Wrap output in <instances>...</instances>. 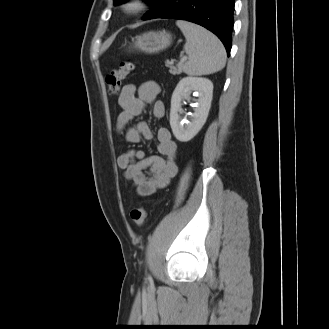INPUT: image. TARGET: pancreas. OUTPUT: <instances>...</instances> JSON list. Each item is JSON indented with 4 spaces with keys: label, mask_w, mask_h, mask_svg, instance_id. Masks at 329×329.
Here are the masks:
<instances>
[{
    "label": "pancreas",
    "mask_w": 329,
    "mask_h": 329,
    "mask_svg": "<svg viewBox=\"0 0 329 329\" xmlns=\"http://www.w3.org/2000/svg\"><path fill=\"white\" fill-rule=\"evenodd\" d=\"M166 66L169 68V72L173 75L180 74L184 69L183 63L181 62L178 63L176 66H174L171 62H167Z\"/></svg>",
    "instance_id": "1"
}]
</instances>
